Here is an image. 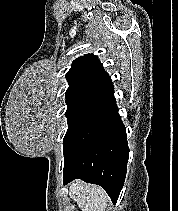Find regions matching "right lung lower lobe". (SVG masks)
I'll return each mask as SVG.
<instances>
[{"label": "right lung lower lobe", "instance_id": "obj_1", "mask_svg": "<svg viewBox=\"0 0 178 211\" xmlns=\"http://www.w3.org/2000/svg\"><path fill=\"white\" fill-rule=\"evenodd\" d=\"M129 148L114 94L96 103L64 141L63 184L74 179L102 186L116 203Z\"/></svg>", "mask_w": 178, "mask_h": 211}]
</instances>
